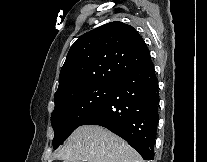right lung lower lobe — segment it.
<instances>
[{"instance_id": "98d812e1", "label": "right lung lower lobe", "mask_w": 207, "mask_h": 162, "mask_svg": "<svg viewBox=\"0 0 207 162\" xmlns=\"http://www.w3.org/2000/svg\"><path fill=\"white\" fill-rule=\"evenodd\" d=\"M158 80L152 61L123 75L108 98L81 124L103 126L154 159L158 124Z\"/></svg>"}]
</instances>
